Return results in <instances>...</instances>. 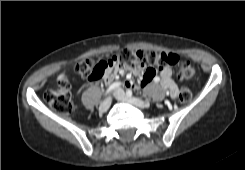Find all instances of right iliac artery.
Wrapping results in <instances>:
<instances>
[{
    "label": "right iliac artery",
    "instance_id": "1",
    "mask_svg": "<svg viewBox=\"0 0 245 170\" xmlns=\"http://www.w3.org/2000/svg\"><path fill=\"white\" fill-rule=\"evenodd\" d=\"M119 86H121L120 82H114L111 86H109V88L106 90L104 97H106L107 95H109L114 89L118 88Z\"/></svg>",
    "mask_w": 245,
    "mask_h": 170
}]
</instances>
